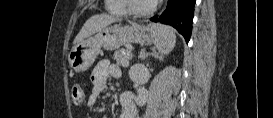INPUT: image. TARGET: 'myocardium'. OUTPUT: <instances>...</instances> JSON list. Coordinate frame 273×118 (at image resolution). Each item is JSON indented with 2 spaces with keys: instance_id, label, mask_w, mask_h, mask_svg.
<instances>
[{
  "instance_id": "f54148a6",
  "label": "myocardium",
  "mask_w": 273,
  "mask_h": 118,
  "mask_svg": "<svg viewBox=\"0 0 273 118\" xmlns=\"http://www.w3.org/2000/svg\"><path fill=\"white\" fill-rule=\"evenodd\" d=\"M134 0H126L127 13L136 17H145L149 16L155 11V4H151L150 6L144 10H137L134 8L133 4Z\"/></svg>"
}]
</instances>
